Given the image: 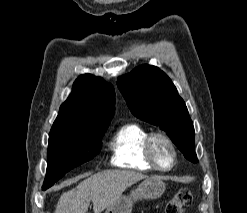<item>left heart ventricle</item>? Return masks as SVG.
<instances>
[{"label":"left heart ventricle","instance_id":"obj_1","mask_svg":"<svg viewBox=\"0 0 247 213\" xmlns=\"http://www.w3.org/2000/svg\"><path fill=\"white\" fill-rule=\"evenodd\" d=\"M154 153L158 162L162 166H170L172 162V152L168 144H166L163 140H157L154 144Z\"/></svg>","mask_w":247,"mask_h":213}]
</instances>
